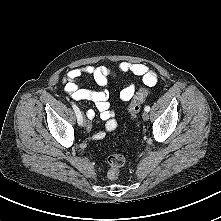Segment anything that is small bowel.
Listing matches in <instances>:
<instances>
[{"mask_svg":"<svg viewBox=\"0 0 221 221\" xmlns=\"http://www.w3.org/2000/svg\"><path fill=\"white\" fill-rule=\"evenodd\" d=\"M124 73H131L141 77L142 82L147 86H153L157 81L156 73L145 64L128 61L119 62L114 69H109L105 66L96 64L74 67L63 77L62 82L65 92L74 100H86L93 102L101 119L106 122L105 129L98 131L93 135L92 138L94 140H102L108 132H112L117 127L115 112L109 103V93L106 87L111 78H115ZM85 74L92 75L101 89L96 90L80 87L79 81ZM135 90V84H128L120 91V100L123 102L129 101L133 97ZM86 116L88 119L86 128L89 130L91 128L90 121L95 117V111L92 109L88 110L86 112Z\"/></svg>","mask_w":221,"mask_h":221,"instance_id":"obj_1","label":"small bowel"}]
</instances>
